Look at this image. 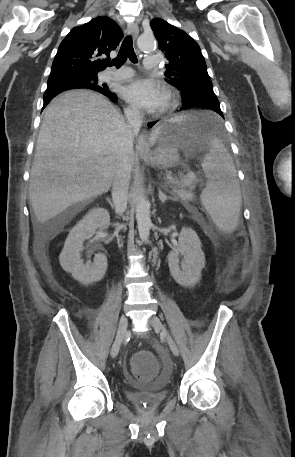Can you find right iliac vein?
Wrapping results in <instances>:
<instances>
[{"instance_id":"obj_1","label":"right iliac vein","mask_w":295,"mask_h":457,"mask_svg":"<svg viewBox=\"0 0 295 457\" xmlns=\"http://www.w3.org/2000/svg\"><path fill=\"white\" fill-rule=\"evenodd\" d=\"M127 325H128L127 317L125 315H122L120 318V321H119L117 335H116L114 344L110 351V355L112 358H115L117 356L119 349L121 347V344H122L123 340L125 339Z\"/></svg>"}]
</instances>
